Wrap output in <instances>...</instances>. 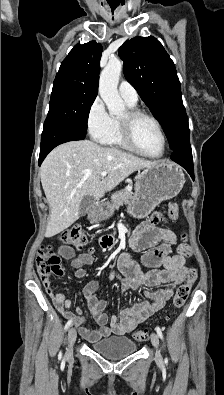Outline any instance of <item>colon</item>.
Listing matches in <instances>:
<instances>
[{
	"instance_id": "1",
	"label": "colon",
	"mask_w": 224,
	"mask_h": 395,
	"mask_svg": "<svg viewBox=\"0 0 224 395\" xmlns=\"http://www.w3.org/2000/svg\"><path fill=\"white\" fill-rule=\"evenodd\" d=\"M167 213L171 219H177L179 216V207L175 203H170L167 207ZM60 241L65 245L82 247L86 242V236L81 227L73 226L62 231L59 235ZM37 270L41 277L49 278L50 276H62L64 270L60 264V257L52 250L50 246H43L36 258ZM197 278L196 269L190 267L186 271V279L176 289L172 299L173 310L180 309L186 302L192 286ZM170 313L167 317H170ZM136 341H144L147 338L146 330H136L133 333Z\"/></svg>"
}]
</instances>
